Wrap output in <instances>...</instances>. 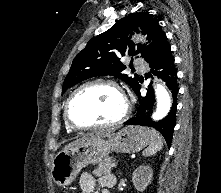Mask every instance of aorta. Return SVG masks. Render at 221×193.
<instances>
[{"mask_svg": "<svg viewBox=\"0 0 221 193\" xmlns=\"http://www.w3.org/2000/svg\"><path fill=\"white\" fill-rule=\"evenodd\" d=\"M155 94L157 98V108L153 113L152 118L154 120H160L165 117L171 108V98L167 90L160 84L155 88Z\"/></svg>", "mask_w": 221, "mask_h": 193, "instance_id": "1", "label": "aorta"}]
</instances>
